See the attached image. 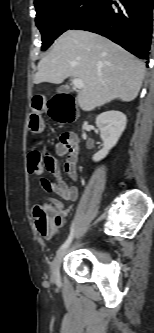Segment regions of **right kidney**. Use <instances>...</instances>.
Instances as JSON below:
<instances>
[{"instance_id": "obj_1", "label": "right kidney", "mask_w": 154, "mask_h": 333, "mask_svg": "<svg viewBox=\"0 0 154 333\" xmlns=\"http://www.w3.org/2000/svg\"><path fill=\"white\" fill-rule=\"evenodd\" d=\"M126 123V115L120 111H107L96 118V126L100 130V137L104 144L103 148L94 154L93 161L98 162L108 155L125 130Z\"/></svg>"}]
</instances>
